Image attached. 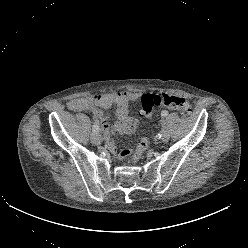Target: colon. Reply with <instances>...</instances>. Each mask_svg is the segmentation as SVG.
Returning <instances> with one entry per match:
<instances>
[{
    "label": "colon",
    "mask_w": 248,
    "mask_h": 248,
    "mask_svg": "<svg viewBox=\"0 0 248 248\" xmlns=\"http://www.w3.org/2000/svg\"><path fill=\"white\" fill-rule=\"evenodd\" d=\"M158 105H164L170 109L177 110L185 115H189L192 111L190 103L183 97L145 94L141 100V114L145 118H150L155 106ZM148 146V139L142 138L137 144L135 151L131 153L128 157H130L132 162L134 163L139 161Z\"/></svg>",
    "instance_id": "1"
}]
</instances>
